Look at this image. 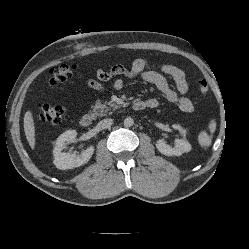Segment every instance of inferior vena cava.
I'll return each instance as SVG.
<instances>
[{
  "label": "inferior vena cava",
  "instance_id": "1",
  "mask_svg": "<svg viewBox=\"0 0 249 249\" xmlns=\"http://www.w3.org/2000/svg\"><path fill=\"white\" fill-rule=\"evenodd\" d=\"M112 124H113V119L107 118V119H103L102 121H100L98 123V127L100 129H106V128H109Z\"/></svg>",
  "mask_w": 249,
  "mask_h": 249
}]
</instances>
